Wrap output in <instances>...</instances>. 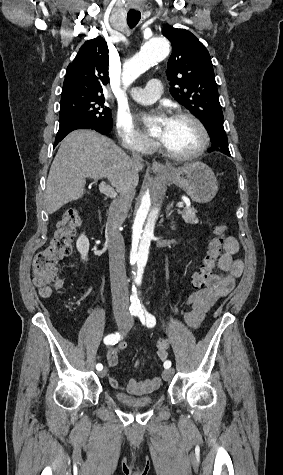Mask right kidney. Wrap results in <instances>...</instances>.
I'll list each match as a JSON object with an SVG mask.
<instances>
[{
    "label": "right kidney",
    "mask_w": 283,
    "mask_h": 475,
    "mask_svg": "<svg viewBox=\"0 0 283 475\" xmlns=\"http://www.w3.org/2000/svg\"><path fill=\"white\" fill-rule=\"evenodd\" d=\"M89 245H90L89 239L86 238L84 234H81V236H79V238L76 241V247L79 253H81V259H84V261L88 259L87 255L89 251Z\"/></svg>",
    "instance_id": "right-kidney-1"
}]
</instances>
